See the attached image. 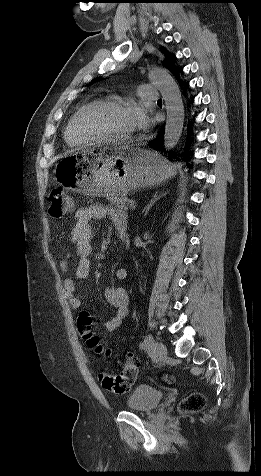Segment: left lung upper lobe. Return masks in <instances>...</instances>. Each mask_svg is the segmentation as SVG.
<instances>
[{
  "label": "left lung upper lobe",
  "mask_w": 261,
  "mask_h": 476,
  "mask_svg": "<svg viewBox=\"0 0 261 476\" xmlns=\"http://www.w3.org/2000/svg\"><path fill=\"white\" fill-rule=\"evenodd\" d=\"M162 53L165 56V59L163 61L164 65H166L169 68V70L174 75H176L179 72V68H177L174 64V56L165 49L162 51Z\"/></svg>",
  "instance_id": "obj_1"
}]
</instances>
